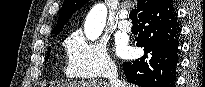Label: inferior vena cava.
<instances>
[{"label":"inferior vena cava","instance_id":"inferior-vena-cava-1","mask_svg":"<svg viewBox=\"0 0 205 87\" xmlns=\"http://www.w3.org/2000/svg\"><path fill=\"white\" fill-rule=\"evenodd\" d=\"M106 78L109 80L110 87H126L118 78V71L116 66L111 65L105 73Z\"/></svg>","mask_w":205,"mask_h":87}]
</instances>
